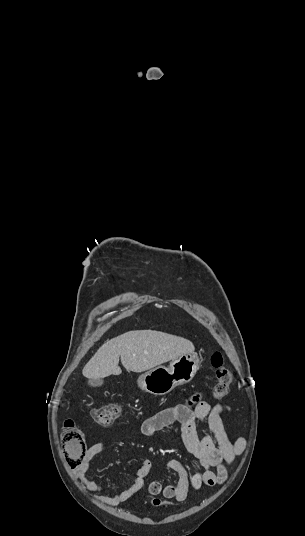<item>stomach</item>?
Instances as JSON below:
<instances>
[{"label":"stomach","mask_w":305,"mask_h":536,"mask_svg":"<svg viewBox=\"0 0 305 536\" xmlns=\"http://www.w3.org/2000/svg\"><path fill=\"white\" fill-rule=\"evenodd\" d=\"M199 368V356L196 352L193 354H183L177 360L170 362L169 368L157 366L150 372H145L139 376L137 384L141 390L155 394V396H164L174 390L176 386H183L193 380Z\"/></svg>","instance_id":"obj_1"}]
</instances>
